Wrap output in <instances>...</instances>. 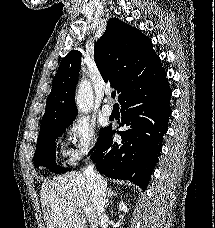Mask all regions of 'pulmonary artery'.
<instances>
[{
  "label": "pulmonary artery",
  "instance_id": "pulmonary-artery-1",
  "mask_svg": "<svg viewBox=\"0 0 215 228\" xmlns=\"http://www.w3.org/2000/svg\"><path fill=\"white\" fill-rule=\"evenodd\" d=\"M104 102H105V105L102 108V112H103L104 115L110 116L112 114V112H113V107L111 105L112 96H111V93L110 92H108L106 94V97L104 99Z\"/></svg>",
  "mask_w": 215,
  "mask_h": 228
}]
</instances>
